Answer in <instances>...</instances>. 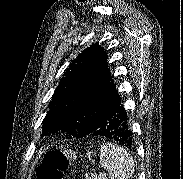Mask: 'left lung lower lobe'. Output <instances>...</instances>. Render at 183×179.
<instances>
[{
  "label": "left lung lower lobe",
  "mask_w": 183,
  "mask_h": 179,
  "mask_svg": "<svg viewBox=\"0 0 183 179\" xmlns=\"http://www.w3.org/2000/svg\"><path fill=\"white\" fill-rule=\"evenodd\" d=\"M90 135L114 140L129 149L132 148V132L130 130L127 113L119 97L115 107L108 114L104 123Z\"/></svg>",
  "instance_id": "1"
}]
</instances>
